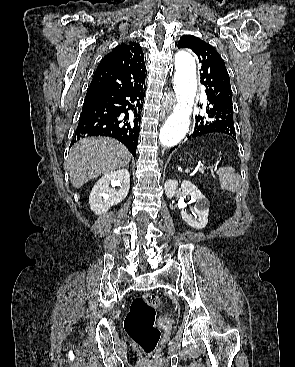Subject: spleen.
I'll use <instances>...</instances> for the list:
<instances>
[{
	"label": "spleen",
	"instance_id": "spleen-1",
	"mask_svg": "<svg viewBox=\"0 0 295 367\" xmlns=\"http://www.w3.org/2000/svg\"><path fill=\"white\" fill-rule=\"evenodd\" d=\"M219 183L223 190L237 192L241 187V178L235 173V169L231 166L221 167L217 170Z\"/></svg>",
	"mask_w": 295,
	"mask_h": 367
}]
</instances>
